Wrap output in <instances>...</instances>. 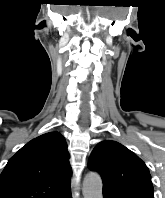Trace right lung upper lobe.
<instances>
[{
  "mask_svg": "<svg viewBox=\"0 0 165 198\" xmlns=\"http://www.w3.org/2000/svg\"><path fill=\"white\" fill-rule=\"evenodd\" d=\"M69 153L58 132L22 147L0 175V198H64L70 192Z\"/></svg>",
  "mask_w": 165,
  "mask_h": 198,
  "instance_id": "cb5924a9",
  "label": "right lung upper lobe"
}]
</instances>
